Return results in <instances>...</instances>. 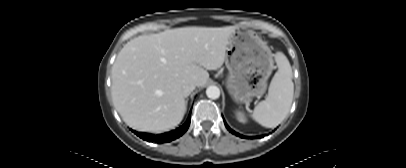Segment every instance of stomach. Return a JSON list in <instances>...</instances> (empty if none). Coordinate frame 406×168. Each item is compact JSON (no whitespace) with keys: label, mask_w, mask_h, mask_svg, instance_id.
I'll list each match as a JSON object with an SVG mask.
<instances>
[{"label":"stomach","mask_w":406,"mask_h":168,"mask_svg":"<svg viewBox=\"0 0 406 168\" xmlns=\"http://www.w3.org/2000/svg\"><path fill=\"white\" fill-rule=\"evenodd\" d=\"M226 88L237 103L261 96L274 69L270 48L256 32L236 27L226 50Z\"/></svg>","instance_id":"stomach-1"}]
</instances>
